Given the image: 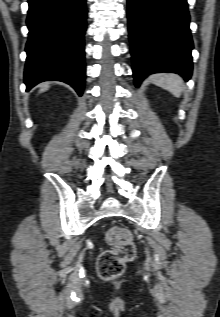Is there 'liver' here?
Instances as JSON below:
<instances>
[{
	"label": "liver",
	"instance_id": "1",
	"mask_svg": "<svg viewBox=\"0 0 220 317\" xmlns=\"http://www.w3.org/2000/svg\"><path fill=\"white\" fill-rule=\"evenodd\" d=\"M48 88H49V85L44 84V85L41 86L40 92H44V91H46Z\"/></svg>",
	"mask_w": 220,
	"mask_h": 317
}]
</instances>
